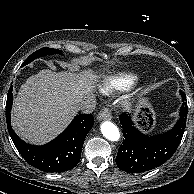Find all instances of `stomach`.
<instances>
[{"label": "stomach", "instance_id": "0dacf381", "mask_svg": "<svg viewBox=\"0 0 194 194\" xmlns=\"http://www.w3.org/2000/svg\"><path fill=\"white\" fill-rule=\"evenodd\" d=\"M137 126L145 131L150 132L156 124V116L152 105L147 98H141L135 110Z\"/></svg>", "mask_w": 194, "mask_h": 194}]
</instances>
